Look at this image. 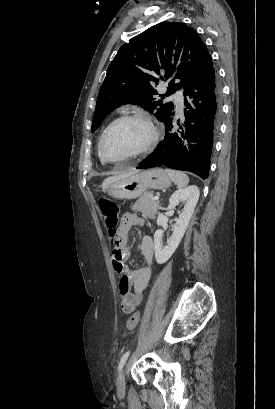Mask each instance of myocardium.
Here are the masks:
<instances>
[{
    "instance_id": "myocardium-1",
    "label": "myocardium",
    "mask_w": 275,
    "mask_h": 409,
    "mask_svg": "<svg viewBox=\"0 0 275 409\" xmlns=\"http://www.w3.org/2000/svg\"><path fill=\"white\" fill-rule=\"evenodd\" d=\"M124 121H133V122H138L140 124H142L145 129H146V137L144 139V141L133 151H131L130 153L122 156V157H135L138 156L146 151H148L152 145L155 143L156 139H157V129L155 127V125L152 123V121L144 116V115H140V114H127V115H123L118 117L117 119H115L114 121H112L109 126L107 127V129L105 130L100 144H99V156L100 157H105L104 153H103V145L104 142L107 138V136L109 135V133L111 132V130L118 124Z\"/></svg>"
}]
</instances>
